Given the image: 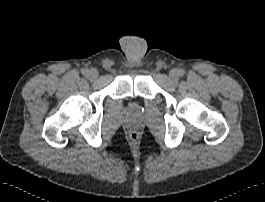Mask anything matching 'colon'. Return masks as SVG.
Masks as SVG:
<instances>
[{
    "mask_svg": "<svg viewBox=\"0 0 265 202\" xmlns=\"http://www.w3.org/2000/svg\"><path fill=\"white\" fill-rule=\"evenodd\" d=\"M130 138H131L133 141H137V140L139 139V135H138V133H136V132H132V133L130 134Z\"/></svg>",
    "mask_w": 265,
    "mask_h": 202,
    "instance_id": "obj_1",
    "label": "colon"
}]
</instances>
